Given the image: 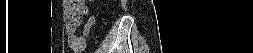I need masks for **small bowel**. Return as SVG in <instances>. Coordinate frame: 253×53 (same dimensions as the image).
<instances>
[{
	"label": "small bowel",
	"mask_w": 253,
	"mask_h": 53,
	"mask_svg": "<svg viewBox=\"0 0 253 53\" xmlns=\"http://www.w3.org/2000/svg\"><path fill=\"white\" fill-rule=\"evenodd\" d=\"M95 22V18L90 16L81 32L77 28L66 24L65 31L68 36V46L75 52H81L85 48L86 36L89 34L91 27Z\"/></svg>",
	"instance_id": "c3829d8e"
}]
</instances>
